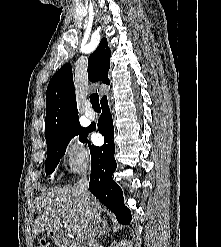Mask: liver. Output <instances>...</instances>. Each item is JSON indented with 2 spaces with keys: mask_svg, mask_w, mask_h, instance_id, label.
<instances>
[{
  "mask_svg": "<svg viewBox=\"0 0 221 247\" xmlns=\"http://www.w3.org/2000/svg\"><path fill=\"white\" fill-rule=\"evenodd\" d=\"M91 200L93 204L88 207L77 186L56 187L42 193L35 200V207L40 212L33 223V237L44 231L57 230L63 223L80 242H85L88 229L93 225L94 212L100 220L105 211L96 198L91 197Z\"/></svg>",
  "mask_w": 221,
  "mask_h": 247,
  "instance_id": "1",
  "label": "liver"
}]
</instances>
